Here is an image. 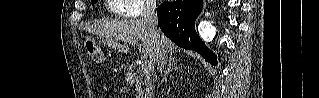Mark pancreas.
I'll use <instances>...</instances> for the list:
<instances>
[{"mask_svg":"<svg viewBox=\"0 0 319 98\" xmlns=\"http://www.w3.org/2000/svg\"><path fill=\"white\" fill-rule=\"evenodd\" d=\"M130 81L135 83V91L138 98H147L151 96L153 85L149 73H143L142 71L134 72L131 67L128 72Z\"/></svg>","mask_w":319,"mask_h":98,"instance_id":"1","label":"pancreas"}]
</instances>
